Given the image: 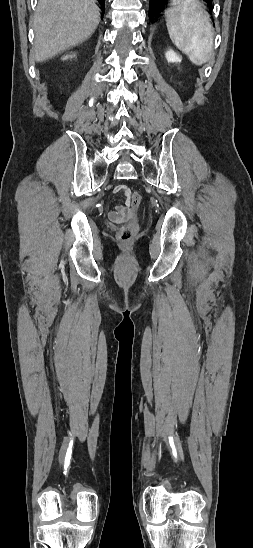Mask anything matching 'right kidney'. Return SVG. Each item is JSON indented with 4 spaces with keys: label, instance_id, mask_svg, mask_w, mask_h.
Returning a JSON list of instances; mask_svg holds the SVG:
<instances>
[{
    "label": "right kidney",
    "instance_id": "ca27d5eb",
    "mask_svg": "<svg viewBox=\"0 0 253 548\" xmlns=\"http://www.w3.org/2000/svg\"><path fill=\"white\" fill-rule=\"evenodd\" d=\"M74 56H75L74 54L65 55L62 59H63V60H66V59L72 58V57H74Z\"/></svg>",
    "mask_w": 253,
    "mask_h": 548
}]
</instances>
